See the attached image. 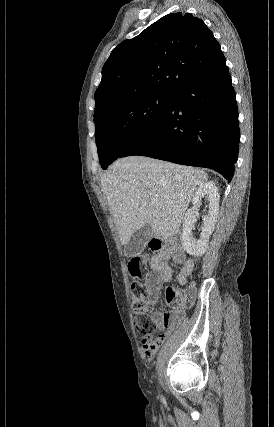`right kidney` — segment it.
I'll return each mask as SVG.
<instances>
[{"instance_id":"1","label":"right kidney","mask_w":274,"mask_h":427,"mask_svg":"<svg viewBox=\"0 0 274 427\" xmlns=\"http://www.w3.org/2000/svg\"><path fill=\"white\" fill-rule=\"evenodd\" d=\"M202 198L208 200V214L203 215V227L200 235V239H195L192 235V229L196 221V212L195 208L201 206ZM219 194L214 182H206V184H201L198 190H196L192 204V210H188L184 215L183 219V229L181 233V243L185 251L189 255H194V257H201L205 253L208 247V241L210 239L211 233L215 229V223L217 221L218 212H219Z\"/></svg>"}]
</instances>
